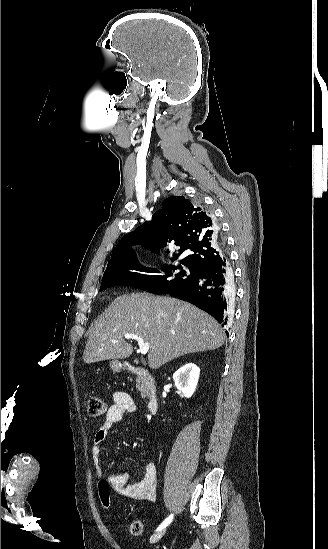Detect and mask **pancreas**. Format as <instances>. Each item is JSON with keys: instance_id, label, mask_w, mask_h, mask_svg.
<instances>
[{"instance_id": "cf45deb5", "label": "pancreas", "mask_w": 328, "mask_h": 549, "mask_svg": "<svg viewBox=\"0 0 328 549\" xmlns=\"http://www.w3.org/2000/svg\"><path fill=\"white\" fill-rule=\"evenodd\" d=\"M136 387L138 391H140L142 397H146V395H149L150 391L154 389V385H147L146 381L142 379V377H137L136 379ZM155 393V391H154Z\"/></svg>"}]
</instances>
